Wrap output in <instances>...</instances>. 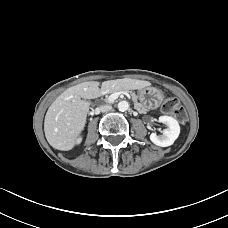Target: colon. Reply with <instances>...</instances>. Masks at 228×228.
Here are the masks:
<instances>
[{
  "label": "colon",
  "instance_id": "1",
  "mask_svg": "<svg viewBox=\"0 0 228 228\" xmlns=\"http://www.w3.org/2000/svg\"><path fill=\"white\" fill-rule=\"evenodd\" d=\"M162 110L164 113L174 116L180 122L186 120V112L177 98H166L162 104Z\"/></svg>",
  "mask_w": 228,
  "mask_h": 228
}]
</instances>
